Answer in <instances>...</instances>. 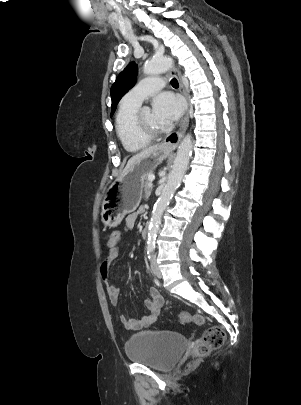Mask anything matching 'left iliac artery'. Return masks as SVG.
Returning <instances> with one entry per match:
<instances>
[{"label": "left iliac artery", "instance_id": "left-iliac-artery-1", "mask_svg": "<svg viewBox=\"0 0 301 405\" xmlns=\"http://www.w3.org/2000/svg\"><path fill=\"white\" fill-rule=\"evenodd\" d=\"M153 251H154V247H148L147 248V254H148L149 259L151 258Z\"/></svg>", "mask_w": 301, "mask_h": 405}]
</instances>
